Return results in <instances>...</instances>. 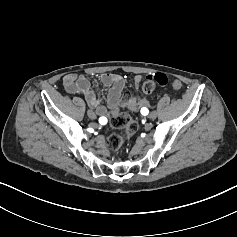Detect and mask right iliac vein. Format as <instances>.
Returning a JSON list of instances; mask_svg holds the SVG:
<instances>
[{
    "label": "right iliac vein",
    "mask_w": 237,
    "mask_h": 237,
    "mask_svg": "<svg viewBox=\"0 0 237 237\" xmlns=\"http://www.w3.org/2000/svg\"><path fill=\"white\" fill-rule=\"evenodd\" d=\"M87 115L90 119H96L97 118V115L93 110H88Z\"/></svg>",
    "instance_id": "obj_1"
}]
</instances>
